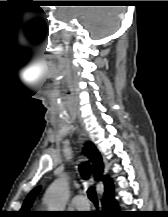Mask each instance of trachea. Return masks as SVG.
<instances>
[{
	"label": "trachea",
	"instance_id": "3493384b",
	"mask_svg": "<svg viewBox=\"0 0 168 217\" xmlns=\"http://www.w3.org/2000/svg\"><path fill=\"white\" fill-rule=\"evenodd\" d=\"M79 171H80V174L82 176V178L84 180H88L90 175H91V166L89 163H86V164H81L79 166ZM87 194H88V198L94 203V204H97L98 203V200H97V194H96V191L94 189V187H90L87 191Z\"/></svg>",
	"mask_w": 168,
	"mask_h": 217
}]
</instances>
